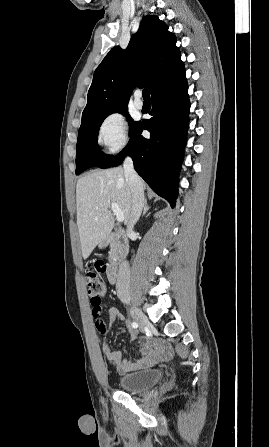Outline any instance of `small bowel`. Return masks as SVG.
Returning a JSON list of instances; mask_svg holds the SVG:
<instances>
[{"label":"small bowel","instance_id":"small-bowel-1","mask_svg":"<svg viewBox=\"0 0 269 447\" xmlns=\"http://www.w3.org/2000/svg\"><path fill=\"white\" fill-rule=\"evenodd\" d=\"M109 315L111 324H124L127 328H129L128 323L125 321L123 315L118 309H111ZM135 339L136 334L131 332V341L134 342ZM102 352L110 364H112L121 373L132 372L150 367L161 361L167 360L172 355L171 350L164 343H156L143 348L140 352V357L134 360L124 359L121 353L113 352L106 343H103L102 345Z\"/></svg>","mask_w":269,"mask_h":447}]
</instances>
